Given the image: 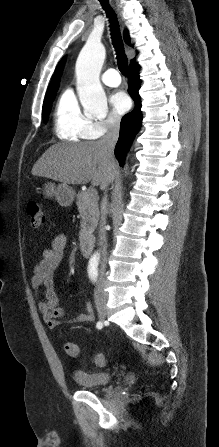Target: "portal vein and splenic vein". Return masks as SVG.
<instances>
[{"label":"portal vein and splenic vein","mask_w":219,"mask_h":447,"mask_svg":"<svg viewBox=\"0 0 219 447\" xmlns=\"http://www.w3.org/2000/svg\"><path fill=\"white\" fill-rule=\"evenodd\" d=\"M88 191H89V195H91V196L97 195V192L94 189H91Z\"/></svg>","instance_id":"obj_1"}]
</instances>
